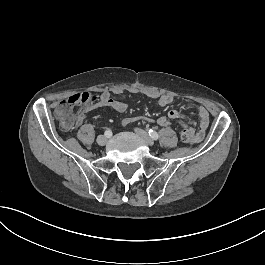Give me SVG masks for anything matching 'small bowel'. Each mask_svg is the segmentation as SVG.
I'll list each match as a JSON object with an SVG mask.
<instances>
[{
    "mask_svg": "<svg viewBox=\"0 0 265 265\" xmlns=\"http://www.w3.org/2000/svg\"><path fill=\"white\" fill-rule=\"evenodd\" d=\"M131 92L133 94L143 93L148 98L156 100L158 105L161 107H165L174 101L173 96L169 94H159L152 91L143 92L139 89H132ZM113 93L121 94L122 90L117 88L113 90ZM98 107H110L117 112H125L128 108V105L122 100L114 99L108 91H104L100 94L98 102L82 107L81 114L76 117V124L83 123L87 117V114L92 109ZM196 112L198 115L197 120L185 115L180 110L173 109L170 110L166 116H161L158 119L150 118V123H157L161 127H167L172 123H177L182 130H186L189 133L191 138L190 143L195 144L203 140L210 122L209 112L204 106L198 105L196 107ZM136 120L149 122V117L141 115L130 116V118H125L123 124L135 122ZM183 120L187 121L188 124L184 123Z\"/></svg>",
    "mask_w": 265,
    "mask_h": 265,
    "instance_id": "small-bowel-1",
    "label": "small bowel"
}]
</instances>
